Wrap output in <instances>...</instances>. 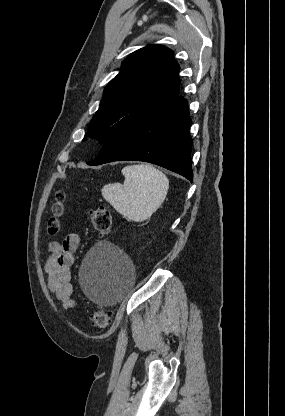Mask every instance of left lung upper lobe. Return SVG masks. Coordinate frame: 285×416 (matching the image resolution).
<instances>
[{
    "mask_svg": "<svg viewBox=\"0 0 285 416\" xmlns=\"http://www.w3.org/2000/svg\"><path fill=\"white\" fill-rule=\"evenodd\" d=\"M178 71L172 50L165 46L148 45L130 54L105 88L85 137L105 144L127 124L176 99Z\"/></svg>",
    "mask_w": 285,
    "mask_h": 416,
    "instance_id": "left-lung-upper-lobe-1",
    "label": "left lung upper lobe"
}]
</instances>
